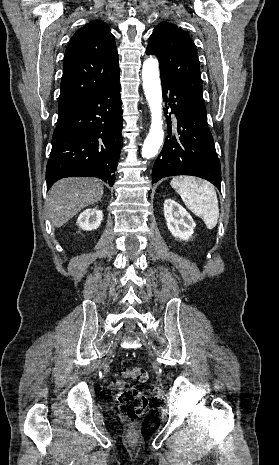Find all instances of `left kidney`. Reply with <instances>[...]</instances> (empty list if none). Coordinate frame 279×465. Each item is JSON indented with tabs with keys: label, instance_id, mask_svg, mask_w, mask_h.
<instances>
[{
	"label": "left kidney",
	"instance_id": "obj_1",
	"mask_svg": "<svg viewBox=\"0 0 279 465\" xmlns=\"http://www.w3.org/2000/svg\"><path fill=\"white\" fill-rule=\"evenodd\" d=\"M164 216L171 234L180 240H188L196 226L192 216L175 200L166 199Z\"/></svg>",
	"mask_w": 279,
	"mask_h": 465
}]
</instances>
